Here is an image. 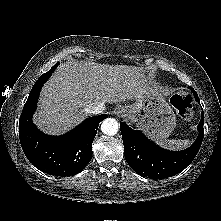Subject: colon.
Listing matches in <instances>:
<instances>
[{
  "mask_svg": "<svg viewBox=\"0 0 221 221\" xmlns=\"http://www.w3.org/2000/svg\"><path fill=\"white\" fill-rule=\"evenodd\" d=\"M171 104L184 120L192 118V96L188 92H179L171 97Z\"/></svg>",
  "mask_w": 221,
  "mask_h": 221,
  "instance_id": "5ec220e1",
  "label": "colon"
}]
</instances>
